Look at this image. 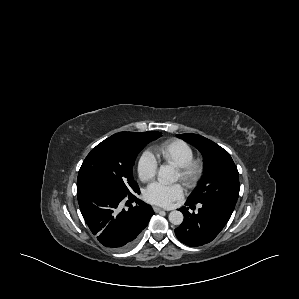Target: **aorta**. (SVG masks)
I'll return each mask as SVG.
<instances>
[{
    "instance_id": "aorta-1",
    "label": "aorta",
    "mask_w": 299,
    "mask_h": 299,
    "mask_svg": "<svg viewBox=\"0 0 299 299\" xmlns=\"http://www.w3.org/2000/svg\"><path fill=\"white\" fill-rule=\"evenodd\" d=\"M158 181L160 183H172L176 181V174L173 167L169 165H162L157 174ZM169 221L173 225H180L183 222V213L177 210L169 213Z\"/></svg>"
}]
</instances>
